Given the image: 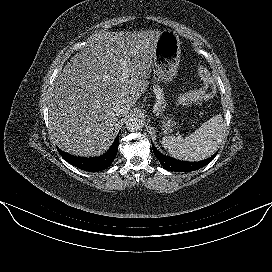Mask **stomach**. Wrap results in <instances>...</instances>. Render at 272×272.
I'll use <instances>...</instances> for the list:
<instances>
[{
  "label": "stomach",
  "instance_id": "1",
  "mask_svg": "<svg viewBox=\"0 0 272 272\" xmlns=\"http://www.w3.org/2000/svg\"><path fill=\"white\" fill-rule=\"evenodd\" d=\"M180 39L173 30H164L157 41L154 51L155 73L163 82L171 81L176 75L180 62ZM162 130L165 134L177 127V122L170 116H163Z\"/></svg>",
  "mask_w": 272,
  "mask_h": 272
}]
</instances>
